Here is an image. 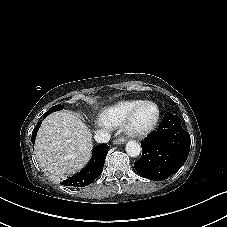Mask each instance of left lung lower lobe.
Masks as SVG:
<instances>
[{
  "label": "left lung lower lobe",
  "mask_w": 227,
  "mask_h": 227,
  "mask_svg": "<svg viewBox=\"0 0 227 227\" xmlns=\"http://www.w3.org/2000/svg\"><path fill=\"white\" fill-rule=\"evenodd\" d=\"M190 143V135L181 127L180 118L168 114L157 131L142 141V157L134 167L144 178L164 180L185 163Z\"/></svg>",
  "instance_id": "1"
}]
</instances>
